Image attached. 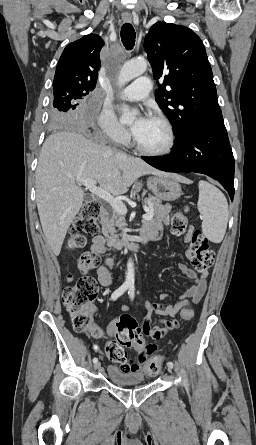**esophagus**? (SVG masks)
I'll list each match as a JSON object with an SVG mask.
<instances>
[{
    "label": "esophagus",
    "mask_w": 256,
    "mask_h": 445,
    "mask_svg": "<svg viewBox=\"0 0 256 445\" xmlns=\"http://www.w3.org/2000/svg\"><path fill=\"white\" fill-rule=\"evenodd\" d=\"M123 21L130 23V22H132V17H123Z\"/></svg>",
    "instance_id": "obj_1"
}]
</instances>
